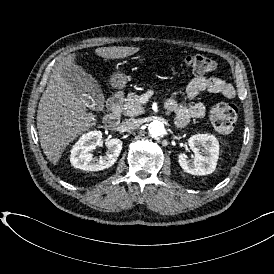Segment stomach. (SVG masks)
Returning <instances> with one entry per match:
<instances>
[{
	"mask_svg": "<svg viewBox=\"0 0 274 274\" xmlns=\"http://www.w3.org/2000/svg\"><path fill=\"white\" fill-rule=\"evenodd\" d=\"M126 78L122 74H114L111 78L113 87L122 89L125 86Z\"/></svg>",
	"mask_w": 274,
	"mask_h": 274,
	"instance_id": "stomach-1",
	"label": "stomach"
}]
</instances>
